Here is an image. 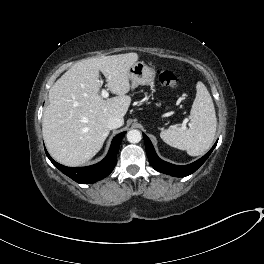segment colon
<instances>
[{
    "mask_svg": "<svg viewBox=\"0 0 264 264\" xmlns=\"http://www.w3.org/2000/svg\"><path fill=\"white\" fill-rule=\"evenodd\" d=\"M158 76H159L160 82L163 85L171 87V88H176L178 86L179 80L173 72L162 69L158 72Z\"/></svg>",
    "mask_w": 264,
    "mask_h": 264,
    "instance_id": "colon-1",
    "label": "colon"
}]
</instances>
